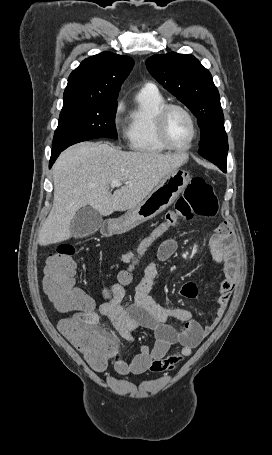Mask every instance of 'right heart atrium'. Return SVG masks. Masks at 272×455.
I'll return each mask as SVG.
<instances>
[{"mask_svg": "<svg viewBox=\"0 0 272 455\" xmlns=\"http://www.w3.org/2000/svg\"><path fill=\"white\" fill-rule=\"evenodd\" d=\"M123 110V103L119 102L116 106V111H115V121H119V115Z\"/></svg>", "mask_w": 272, "mask_h": 455, "instance_id": "obj_1", "label": "right heart atrium"}]
</instances>
